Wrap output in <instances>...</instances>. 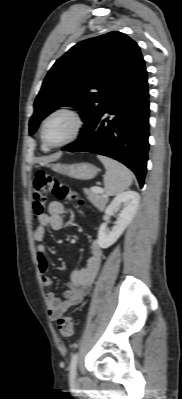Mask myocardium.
<instances>
[{
	"label": "myocardium",
	"instance_id": "myocardium-1",
	"mask_svg": "<svg viewBox=\"0 0 182 399\" xmlns=\"http://www.w3.org/2000/svg\"><path fill=\"white\" fill-rule=\"evenodd\" d=\"M58 115H67V116L71 117L72 120L74 121V128H73L72 133L66 140H64L63 142L58 143V144H51L46 139V133H45L46 126L52 118H54L55 116H58ZM83 128H84V119H83L82 115L76 109H74L72 107L62 106V107H59V108L53 110L44 119V121L42 123V127H41V138H42L43 143L48 148H59V147L65 146V145L75 141L82 133Z\"/></svg>",
	"mask_w": 182,
	"mask_h": 399
}]
</instances>
